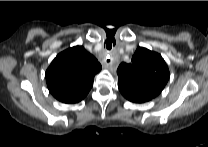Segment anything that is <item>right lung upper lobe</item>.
I'll return each instance as SVG.
<instances>
[{
	"label": "right lung upper lobe",
	"instance_id": "1",
	"mask_svg": "<svg viewBox=\"0 0 208 147\" xmlns=\"http://www.w3.org/2000/svg\"><path fill=\"white\" fill-rule=\"evenodd\" d=\"M101 64L82 46L69 48L60 54L46 70V82L51 94L63 103L81 101L90 91Z\"/></svg>",
	"mask_w": 208,
	"mask_h": 147
}]
</instances>
